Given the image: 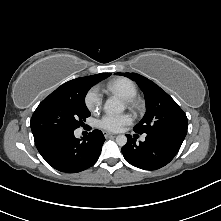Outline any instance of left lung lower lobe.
Here are the masks:
<instances>
[{
  "label": "left lung lower lobe",
  "mask_w": 221,
  "mask_h": 221,
  "mask_svg": "<svg viewBox=\"0 0 221 221\" xmlns=\"http://www.w3.org/2000/svg\"><path fill=\"white\" fill-rule=\"evenodd\" d=\"M122 147L124 158L135 167L156 170L168 164L178 153L185 137L176 134H149L144 142L136 143L130 135Z\"/></svg>",
  "instance_id": "0a47b994"
}]
</instances>
